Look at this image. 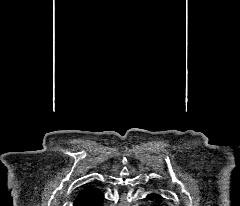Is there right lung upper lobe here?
Masks as SVG:
<instances>
[{
  "label": "right lung upper lobe",
  "mask_w": 240,
  "mask_h": 206,
  "mask_svg": "<svg viewBox=\"0 0 240 206\" xmlns=\"http://www.w3.org/2000/svg\"><path fill=\"white\" fill-rule=\"evenodd\" d=\"M92 189H94V187L91 186V185H88V186H86L83 190H81V191L79 192L78 196H82V195H84V194H87V193H88L89 191H91Z\"/></svg>",
  "instance_id": "right-lung-upper-lobe-1"
}]
</instances>
